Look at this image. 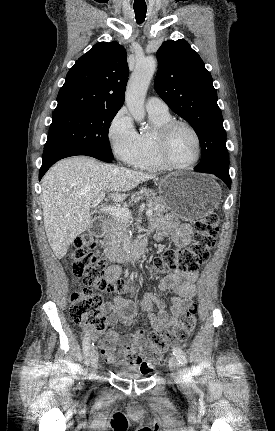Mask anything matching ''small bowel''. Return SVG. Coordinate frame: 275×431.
<instances>
[{
    "instance_id": "c3829d8e",
    "label": "small bowel",
    "mask_w": 275,
    "mask_h": 431,
    "mask_svg": "<svg viewBox=\"0 0 275 431\" xmlns=\"http://www.w3.org/2000/svg\"><path fill=\"white\" fill-rule=\"evenodd\" d=\"M155 230V238L162 240L171 235L173 244L179 249L185 248L193 233L192 226L188 223L179 224L178 220L172 216L164 219H155L152 223ZM121 275V268L113 265L109 267L106 278L110 282H116ZM199 277V272H174L165 276L160 284L161 293L172 291L175 296L170 300L169 310H166L164 301L153 295H145L140 310L145 312L150 320L151 327L157 331L166 330L174 326L187 308L192 304V298L197 289L195 282ZM158 307L157 314L153 313V308ZM105 310L109 313L107 324L104 330L95 331L90 334L92 340H98L101 353L109 363H118L128 366H137L133 361V356L142 355L147 344L146 329H141L135 334L119 335L114 326L121 323L130 326L138 313V306L129 299L118 295H113L112 302L107 303Z\"/></svg>"
}]
</instances>
